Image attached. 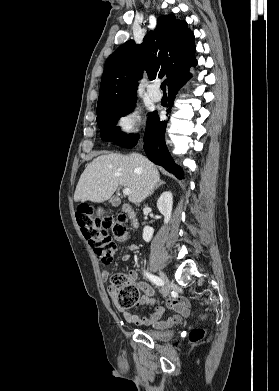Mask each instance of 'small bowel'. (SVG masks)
I'll list each match as a JSON object with an SVG mask.
<instances>
[{
	"label": "small bowel",
	"mask_w": 279,
	"mask_h": 391,
	"mask_svg": "<svg viewBox=\"0 0 279 391\" xmlns=\"http://www.w3.org/2000/svg\"><path fill=\"white\" fill-rule=\"evenodd\" d=\"M125 238L118 239L119 241H123ZM139 248L138 244L133 243L127 246L122 254V260L128 261L132 254L137 251ZM130 278L135 281L136 273L130 272ZM102 279L105 281L108 279V272L103 271L101 274ZM137 287L142 291V296L139 300V305L141 306H154L157 301L154 296V289L145 282H138ZM109 294L112 297H115L116 291L111 287L109 288ZM166 308L171 309L175 312L169 318L162 320V316L166 310ZM121 315L124 320L131 324H135L137 326H152L155 329H167L172 327L173 325L181 322L184 317H189L192 314L190 303L188 300L182 297H171L169 298L165 305L159 304L155 307V310L148 316H140L131 312L126 311L125 309L119 308Z\"/></svg>",
	"instance_id": "obj_1"
}]
</instances>
